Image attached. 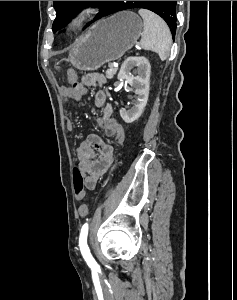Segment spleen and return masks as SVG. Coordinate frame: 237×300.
Listing matches in <instances>:
<instances>
[{"label": "spleen", "mask_w": 237, "mask_h": 300, "mask_svg": "<svg viewBox=\"0 0 237 300\" xmlns=\"http://www.w3.org/2000/svg\"><path fill=\"white\" fill-rule=\"evenodd\" d=\"M138 13L143 19V33L140 41L142 49L154 51L158 53L161 61H166L172 43L167 23L147 9H140Z\"/></svg>", "instance_id": "1"}]
</instances>
